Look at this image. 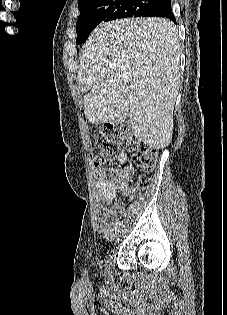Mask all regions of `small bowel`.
<instances>
[{"label": "small bowel", "instance_id": "small-bowel-1", "mask_svg": "<svg viewBox=\"0 0 227 315\" xmlns=\"http://www.w3.org/2000/svg\"><path fill=\"white\" fill-rule=\"evenodd\" d=\"M127 162L125 154H121L118 157L119 168ZM96 190L100 200H102V211L98 217V228L102 232H107L111 229L115 223V218L119 216L123 211V203L117 202L112 208L108 209L107 204L112 203L115 198L117 191L119 190L123 197L128 198L132 194L137 193V189H131L128 185V177L122 171H119L116 177L108 182H97Z\"/></svg>", "mask_w": 227, "mask_h": 315}]
</instances>
